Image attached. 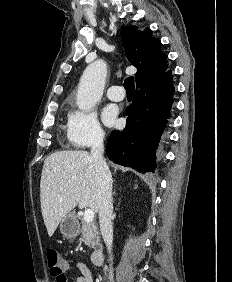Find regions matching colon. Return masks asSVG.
<instances>
[{
    "mask_svg": "<svg viewBox=\"0 0 232 282\" xmlns=\"http://www.w3.org/2000/svg\"><path fill=\"white\" fill-rule=\"evenodd\" d=\"M46 258L50 273L55 278L64 277V260L55 249L46 251Z\"/></svg>",
    "mask_w": 232,
    "mask_h": 282,
    "instance_id": "1",
    "label": "colon"
}]
</instances>
